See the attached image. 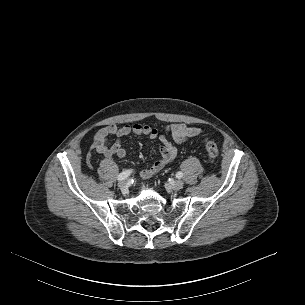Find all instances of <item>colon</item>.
I'll use <instances>...</instances> for the list:
<instances>
[{
  "label": "colon",
  "mask_w": 305,
  "mask_h": 305,
  "mask_svg": "<svg viewBox=\"0 0 305 305\" xmlns=\"http://www.w3.org/2000/svg\"><path fill=\"white\" fill-rule=\"evenodd\" d=\"M205 147L211 162H215L218 157V147L214 141L206 138Z\"/></svg>",
  "instance_id": "1"
}]
</instances>
